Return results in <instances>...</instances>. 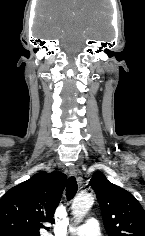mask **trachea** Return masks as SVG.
Returning <instances> with one entry per match:
<instances>
[{
  "label": "trachea",
  "instance_id": "obj_1",
  "mask_svg": "<svg viewBox=\"0 0 145 236\" xmlns=\"http://www.w3.org/2000/svg\"><path fill=\"white\" fill-rule=\"evenodd\" d=\"M77 181L74 176L70 177L67 181V186H66V197L70 201L76 194L77 192Z\"/></svg>",
  "mask_w": 145,
  "mask_h": 236
}]
</instances>
